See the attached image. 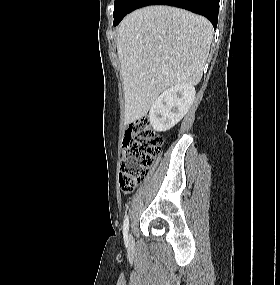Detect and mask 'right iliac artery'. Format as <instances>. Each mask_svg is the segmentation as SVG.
<instances>
[{"label":"right iliac artery","instance_id":"right-iliac-artery-1","mask_svg":"<svg viewBox=\"0 0 280 285\" xmlns=\"http://www.w3.org/2000/svg\"><path fill=\"white\" fill-rule=\"evenodd\" d=\"M128 231H129V219L128 216H126L123 223V233H124V238L126 240L128 238Z\"/></svg>","mask_w":280,"mask_h":285}]
</instances>
